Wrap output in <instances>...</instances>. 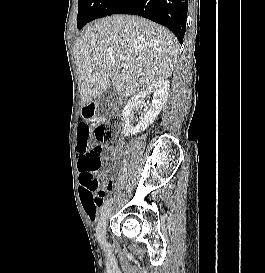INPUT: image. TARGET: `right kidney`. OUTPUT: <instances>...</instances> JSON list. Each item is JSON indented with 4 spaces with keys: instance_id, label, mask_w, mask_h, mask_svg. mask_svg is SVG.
<instances>
[{
    "instance_id": "right-kidney-1",
    "label": "right kidney",
    "mask_w": 265,
    "mask_h": 273,
    "mask_svg": "<svg viewBox=\"0 0 265 273\" xmlns=\"http://www.w3.org/2000/svg\"><path fill=\"white\" fill-rule=\"evenodd\" d=\"M170 89L169 81L161 79L155 83L146 87L144 91L137 93L126 105L122 112L123 119L125 121L124 134L125 136L135 135L142 131H145L147 127L154 122L163 108V105L167 99ZM153 93V98L150 104H148V110L143 113L136 127H133L129 123V117L134 107L140 106L144 103L145 97Z\"/></svg>"
}]
</instances>
